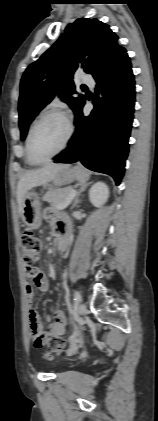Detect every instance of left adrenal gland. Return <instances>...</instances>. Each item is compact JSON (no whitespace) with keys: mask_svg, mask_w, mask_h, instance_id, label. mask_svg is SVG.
<instances>
[{"mask_svg":"<svg viewBox=\"0 0 158 421\" xmlns=\"http://www.w3.org/2000/svg\"><path fill=\"white\" fill-rule=\"evenodd\" d=\"M90 184H91V182H88V183H82V184H81V186H80V188H79V190H78V192H77V195H76V198H75V201H74V203H73L72 208L76 207V205L80 202L79 197L81 196V193H82V192H84V191H85V189H86V188H87Z\"/></svg>","mask_w":158,"mask_h":421,"instance_id":"1","label":"left adrenal gland"}]
</instances>
